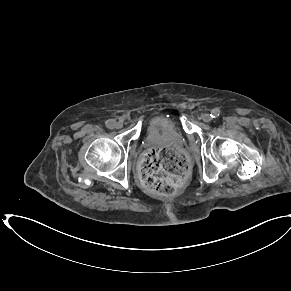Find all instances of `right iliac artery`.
<instances>
[{
    "mask_svg": "<svg viewBox=\"0 0 291 291\" xmlns=\"http://www.w3.org/2000/svg\"><path fill=\"white\" fill-rule=\"evenodd\" d=\"M105 124L109 129H113L115 127V121L113 120H107Z\"/></svg>",
    "mask_w": 291,
    "mask_h": 291,
    "instance_id": "1",
    "label": "right iliac artery"
}]
</instances>
